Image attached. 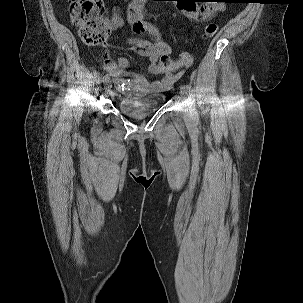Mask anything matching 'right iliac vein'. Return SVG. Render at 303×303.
Instances as JSON below:
<instances>
[{
    "instance_id": "1",
    "label": "right iliac vein",
    "mask_w": 303,
    "mask_h": 303,
    "mask_svg": "<svg viewBox=\"0 0 303 303\" xmlns=\"http://www.w3.org/2000/svg\"><path fill=\"white\" fill-rule=\"evenodd\" d=\"M111 86H112L111 82L107 81V82H105L104 88H105L106 91H109L111 89Z\"/></svg>"
}]
</instances>
